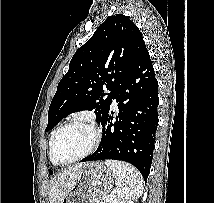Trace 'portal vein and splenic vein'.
<instances>
[{
	"label": "portal vein and splenic vein",
	"instance_id": "1",
	"mask_svg": "<svg viewBox=\"0 0 214 203\" xmlns=\"http://www.w3.org/2000/svg\"><path fill=\"white\" fill-rule=\"evenodd\" d=\"M114 194L112 193V194H109L108 196H107V200H112V199H114Z\"/></svg>",
	"mask_w": 214,
	"mask_h": 203
}]
</instances>
